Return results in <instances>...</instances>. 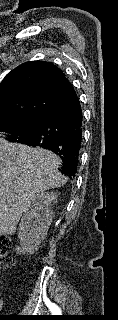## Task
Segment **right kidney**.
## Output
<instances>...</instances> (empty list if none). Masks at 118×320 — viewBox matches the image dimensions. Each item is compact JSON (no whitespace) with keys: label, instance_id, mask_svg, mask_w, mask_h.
I'll return each mask as SVG.
<instances>
[{"label":"right kidney","instance_id":"right-kidney-1","mask_svg":"<svg viewBox=\"0 0 118 320\" xmlns=\"http://www.w3.org/2000/svg\"><path fill=\"white\" fill-rule=\"evenodd\" d=\"M57 197L56 192H42L24 212L18 228L21 252L34 253L45 239L54 218L52 208Z\"/></svg>","mask_w":118,"mask_h":320}]
</instances>
